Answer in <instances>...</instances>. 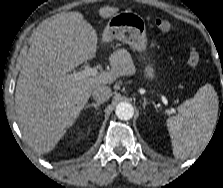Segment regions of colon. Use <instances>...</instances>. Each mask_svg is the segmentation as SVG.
Segmentation results:
<instances>
[{
  "label": "colon",
  "mask_w": 223,
  "mask_h": 188,
  "mask_svg": "<svg viewBox=\"0 0 223 188\" xmlns=\"http://www.w3.org/2000/svg\"><path fill=\"white\" fill-rule=\"evenodd\" d=\"M155 26L162 32L168 33L173 30V24L167 19H156ZM187 63L190 67H197L200 63V55L196 50H191L188 56Z\"/></svg>",
  "instance_id": "obj_1"
}]
</instances>
